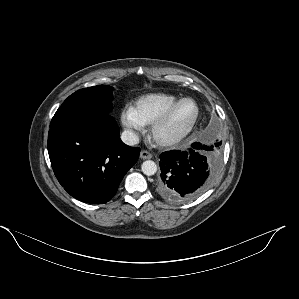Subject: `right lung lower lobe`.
<instances>
[{"label":"right lung lower lobe","instance_id":"right-lung-lower-lobe-1","mask_svg":"<svg viewBox=\"0 0 299 299\" xmlns=\"http://www.w3.org/2000/svg\"><path fill=\"white\" fill-rule=\"evenodd\" d=\"M48 153L56 178L71 196L103 204L116 194L140 149L121 141L111 116L85 114L50 127Z\"/></svg>","mask_w":299,"mask_h":299}]
</instances>
